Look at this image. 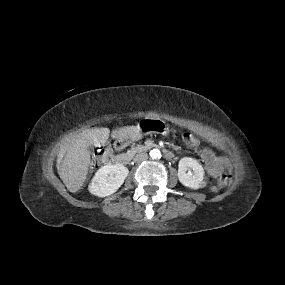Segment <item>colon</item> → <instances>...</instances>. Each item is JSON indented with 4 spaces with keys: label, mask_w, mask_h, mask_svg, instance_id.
I'll use <instances>...</instances> for the list:
<instances>
[{
    "label": "colon",
    "mask_w": 285,
    "mask_h": 285,
    "mask_svg": "<svg viewBox=\"0 0 285 285\" xmlns=\"http://www.w3.org/2000/svg\"><path fill=\"white\" fill-rule=\"evenodd\" d=\"M182 141L185 143V145L188 148H191V149H194V148L198 149L202 145L201 140L198 138H194L190 133H185L182 136ZM110 158H111V155L108 151L101 150L96 154L95 159H94V164L95 165L105 164L110 161ZM230 182H231L230 174L227 172H224L216 178L215 183L213 185V190L219 191L223 189L224 187L228 186Z\"/></svg>",
    "instance_id": "5ec220e1"
}]
</instances>
